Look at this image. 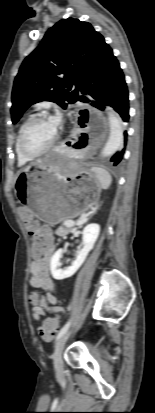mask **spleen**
I'll return each instance as SVG.
<instances>
[{"label":"spleen","instance_id":"spleen-1","mask_svg":"<svg viewBox=\"0 0 155 413\" xmlns=\"http://www.w3.org/2000/svg\"><path fill=\"white\" fill-rule=\"evenodd\" d=\"M91 171H93L94 174L96 175L97 179L99 180L101 184V187L103 189H108L112 182V178L109 172L103 168H98V167H92Z\"/></svg>","mask_w":155,"mask_h":413}]
</instances>
